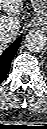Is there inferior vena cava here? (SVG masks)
I'll return each instance as SVG.
<instances>
[{
  "instance_id": "1",
  "label": "inferior vena cava",
  "mask_w": 47,
  "mask_h": 129,
  "mask_svg": "<svg viewBox=\"0 0 47 129\" xmlns=\"http://www.w3.org/2000/svg\"><path fill=\"white\" fill-rule=\"evenodd\" d=\"M16 36V33L12 30L2 29L0 31V40L1 41H12Z\"/></svg>"
}]
</instances>
